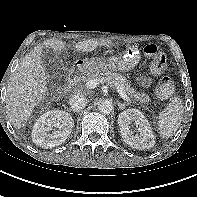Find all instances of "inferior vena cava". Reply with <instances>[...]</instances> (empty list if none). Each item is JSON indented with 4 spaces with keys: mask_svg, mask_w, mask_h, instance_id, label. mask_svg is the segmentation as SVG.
<instances>
[{
    "mask_svg": "<svg viewBox=\"0 0 197 197\" xmlns=\"http://www.w3.org/2000/svg\"><path fill=\"white\" fill-rule=\"evenodd\" d=\"M87 104V98L83 94H75L72 95L69 99V105L73 111H80L81 109L85 108Z\"/></svg>",
    "mask_w": 197,
    "mask_h": 197,
    "instance_id": "inferior-vena-cava-1",
    "label": "inferior vena cava"
}]
</instances>
